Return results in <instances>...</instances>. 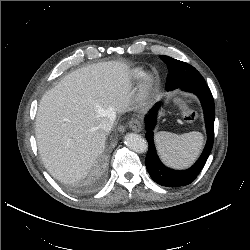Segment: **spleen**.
<instances>
[{
	"label": "spleen",
	"mask_w": 250,
	"mask_h": 250,
	"mask_svg": "<svg viewBox=\"0 0 250 250\" xmlns=\"http://www.w3.org/2000/svg\"><path fill=\"white\" fill-rule=\"evenodd\" d=\"M156 144L161 159L172 167H186L198 156L203 135L200 132H190L177 135L161 131L156 135Z\"/></svg>",
	"instance_id": "1"
}]
</instances>
